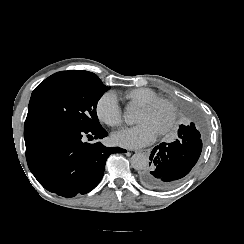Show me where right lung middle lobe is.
<instances>
[{
	"label": "right lung middle lobe",
	"mask_w": 244,
	"mask_h": 244,
	"mask_svg": "<svg viewBox=\"0 0 244 244\" xmlns=\"http://www.w3.org/2000/svg\"><path fill=\"white\" fill-rule=\"evenodd\" d=\"M108 89L92 72H57L33 91L27 118H47L88 131L101 127L96 106Z\"/></svg>",
	"instance_id": "dd1d6c3e"
}]
</instances>
